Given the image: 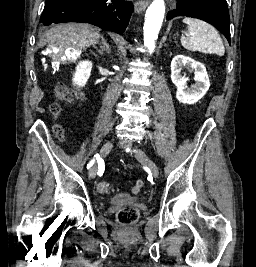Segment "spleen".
Returning <instances> with one entry per match:
<instances>
[{"mask_svg":"<svg viewBox=\"0 0 256 267\" xmlns=\"http://www.w3.org/2000/svg\"><path fill=\"white\" fill-rule=\"evenodd\" d=\"M182 22L187 24V32H183L181 36V44L185 50L224 56V44L213 26L196 18H184Z\"/></svg>","mask_w":256,"mask_h":267,"instance_id":"obj_1","label":"spleen"}]
</instances>
